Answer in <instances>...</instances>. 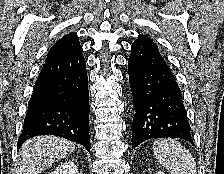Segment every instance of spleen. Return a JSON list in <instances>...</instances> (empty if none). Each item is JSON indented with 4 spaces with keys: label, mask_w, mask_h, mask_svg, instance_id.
Segmentation results:
<instances>
[{
    "label": "spleen",
    "mask_w": 224,
    "mask_h": 174,
    "mask_svg": "<svg viewBox=\"0 0 224 174\" xmlns=\"http://www.w3.org/2000/svg\"><path fill=\"white\" fill-rule=\"evenodd\" d=\"M156 159L171 174H197L191 153L175 139H159L153 143Z\"/></svg>",
    "instance_id": "spleen-1"
}]
</instances>
